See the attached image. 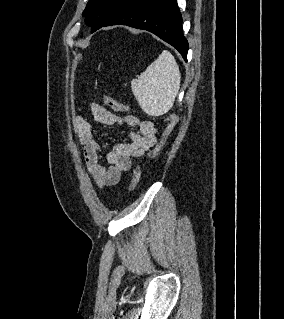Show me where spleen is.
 Segmentation results:
<instances>
[{"label":"spleen","instance_id":"3e777b00","mask_svg":"<svg viewBox=\"0 0 284 319\" xmlns=\"http://www.w3.org/2000/svg\"><path fill=\"white\" fill-rule=\"evenodd\" d=\"M180 71L173 55L164 50L131 88L140 107L151 116H161L173 106L180 88Z\"/></svg>","mask_w":284,"mask_h":319}]
</instances>
